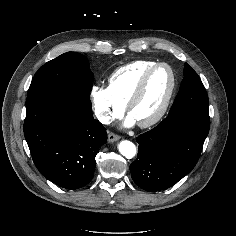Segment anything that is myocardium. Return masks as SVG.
Wrapping results in <instances>:
<instances>
[{
    "instance_id": "obj_1",
    "label": "myocardium",
    "mask_w": 236,
    "mask_h": 236,
    "mask_svg": "<svg viewBox=\"0 0 236 236\" xmlns=\"http://www.w3.org/2000/svg\"><path fill=\"white\" fill-rule=\"evenodd\" d=\"M161 67H165L168 69L169 73H170V77H171V84L168 90V93L166 95V98L161 106V108L159 109V111L149 120L144 121V122H138V125L141 128H149L154 126L155 124H157L166 114L169 105L171 103V100L173 98L174 92H175V88H176V75L175 72L173 70V68L164 62H159L154 64L153 66H151L150 68H148L145 73L142 75L141 79L139 80L136 88L134 89L133 93L131 94V96L129 97L127 103H126V111L127 113L130 115V112L133 108V106L138 102V100L141 98L146 85L148 83V80L150 78V76L153 74L154 71H156L158 68Z\"/></svg>"
}]
</instances>
